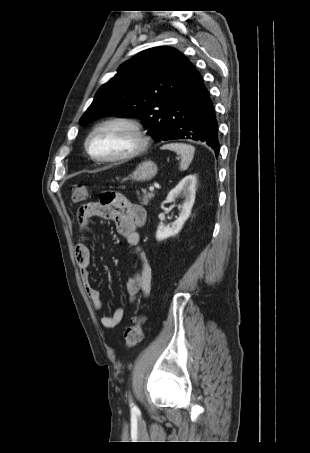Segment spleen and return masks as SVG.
<instances>
[{
  "label": "spleen",
  "mask_w": 310,
  "mask_h": 453,
  "mask_svg": "<svg viewBox=\"0 0 310 453\" xmlns=\"http://www.w3.org/2000/svg\"><path fill=\"white\" fill-rule=\"evenodd\" d=\"M163 150H171L181 155L179 169L181 171L187 170L193 160L195 147L185 143H170L161 147Z\"/></svg>",
  "instance_id": "spleen-1"
}]
</instances>
